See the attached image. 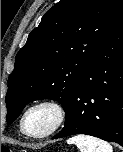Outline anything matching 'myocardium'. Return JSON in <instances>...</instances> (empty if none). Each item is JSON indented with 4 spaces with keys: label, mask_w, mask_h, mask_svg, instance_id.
Returning <instances> with one entry per match:
<instances>
[{
    "label": "myocardium",
    "mask_w": 123,
    "mask_h": 152,
    "mask_svg": "<svg viewBox=\"0 0 123 152\" xmlns=\"http://www.w3.org/2000/svg\"><path fill=\"white\" fill-rule=\"evenodd\" d=\"M38 107L51 108L56 114V120L54 124L52 125V127L46 132L41 133V134H31L25 128V119L30 111ZM65 120H66V109L61 102L55 99H42V100L34 102L24 111L20 120V127H21V131L26 136L30 138H34V139H42V138L49 137L53 135L55 132H57L62 127Z\"/></svg>",
    "instance_id": "myocardium-1"
}]
</instances>
